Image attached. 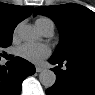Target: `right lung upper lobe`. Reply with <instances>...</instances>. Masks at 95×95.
Segmentation results:
<instances>
[{
  "label": "right lung upper lobe",
  "mask_w": 95,
  "mask_h": 95,
  "mask_svg": "<svg viewBox=\"0 0 95 95\" xmlns=\"http://www.w3.org/2000/svg\"><path fill=\"white\" fill-rule=\"evenodd\" d=\"M33 7L0 3V31L9 32L32 13Z\"/></svg>",
  "instance_id": "right-lung-upper-lobe-1"
}]
</instances>
